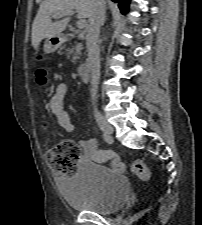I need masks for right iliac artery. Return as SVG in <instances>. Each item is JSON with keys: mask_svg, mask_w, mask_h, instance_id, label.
Masks as SVG:
<instances>
[{"mask_svg": "<svg viewBox=\"0 0 202 225\" xmlns=\"http://www.w3.org/2000/svg\"><path fill=\"white\" fill-rule=\"evenodd\" d=\"M102 138L104 139V141H106L107 143L111 144L112 143V138L111 136H107L105 134L102 135Z\"/></svg>", "mask_w": 202, "mask_h": 225, "instance_id": "82829eb1", "label": "right iliac artery"}]
</instances>
